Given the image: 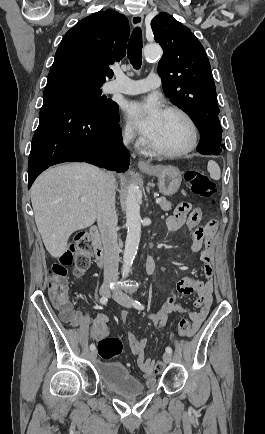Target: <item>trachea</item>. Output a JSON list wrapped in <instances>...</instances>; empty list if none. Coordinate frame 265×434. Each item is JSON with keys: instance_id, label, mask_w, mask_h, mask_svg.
<instances>
[{"instance_id": "1", "label": "trachea", "mask_w": 265, "mask_h": 434, "mask_svg": "<svg viewBox=\"0 0 265 434\" xmlns=\"http://www.w3.org/2000/svg\"><path fill=\"white\" fill-rule=\"evenodd\" d=\"M142 47V30L136 27L132 32L127 48L128 58L135 69L141 67Z\"/></svg>"}]
</instances>
